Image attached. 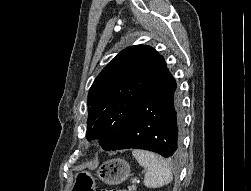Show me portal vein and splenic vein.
<instances>
[{
    "mask_svg": "<svg viewBox=\"0 0 251 191\" xmlns=\"http://www.w3.org/2000/svg\"><path fill=\"white\" fill-rule=\"evenodd\" d=\"M135 181H136V179H132V183H135ZM138 181H139V179H138Z\"/></svg>",
    "mask_w": 251,
    "mask_h": 191,
    "instance_id": "1",
    "label": "portal vein and splenic vein"
}]
</instances>
